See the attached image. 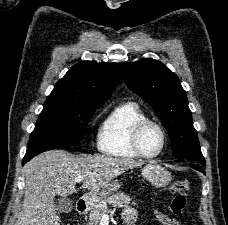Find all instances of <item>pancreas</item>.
<instances>
[{"label": "pancreas", "instance_id": "cf45deb5", "mask_svg": "<svg viewBox=\"0 0 228 225\" xmlns=\"http://www.w3.org/2000/svg\"><path fill=\"white\" fill-rule=\"evenodd\" d=\"M130 201V197L125 195V193H116V195L102 199V201H99L97 207L90 209V213L87 217L88 225H98L104 213H109V205H112V207H129V205H136V203H130Z\"/></svg>", "mask_w": 228, "mask_h": 225}]
</instances>
